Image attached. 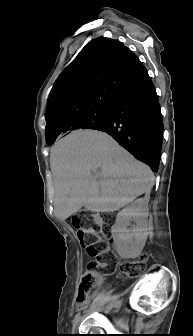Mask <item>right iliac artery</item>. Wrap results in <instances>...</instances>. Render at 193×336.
<instances>
[{"instance_id": "right-iliac-artery-1", "label": "right iliac artery", "mask_w": 193, "mask_h": 336, "mask_svg": "<svg viewBox=\"0 0 193 336\" xmlns=\"http://www.w3.org/2000/svg\"><path fill=\"white\" fill-rule=\"evenodd\" d=\"M79 318H80V314H76V316H75L73 322L75 323Z\"/></svg>"}]
</instances>
